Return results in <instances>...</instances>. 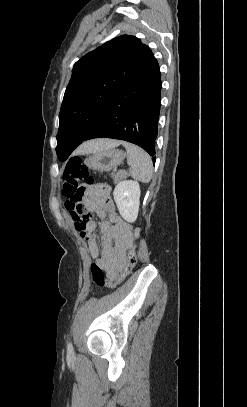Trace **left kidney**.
Masks as SVG:
<instances>
[{
  "label": "left kidney",
  "instance_id": "obj_1",
  "mask_svg": "<svg viewBox=\"0 0 247 407\" xmlns=\"http://www.w3.org/2000/svg\"><path fill=\"white\" fill-rule=\"evenodd\" d=\"M140 186L137 181H120L113 192L114 200L122 218L127 222L137 219L140 205Z\"/></svg>",
  "mask_w": 247,
  "mask_h": 407
}]
</instances>
